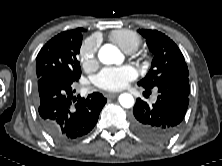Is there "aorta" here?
Instances as JSON below:
<instances>
[{
    "label": "aorta",
    "mask_w": 222,
    "mask_h": 166,
    "mask_svg": "<svg viewBox=\"0 0 222 166\" xmlns=\"http://www.w3.org/2000/svg\"><path fill=\"white\" fill-rule=\"evenodd\" d=\"M98 58L103 64H120L123 61V55L119 49L111 44H105L98 52ZM119 103L124 108H131L134 105V98L129 93H123L119 96Z\"/></svg>",
    "instance_id": "1"
}]
</instances>
